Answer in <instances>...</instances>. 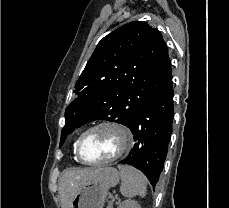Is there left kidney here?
<instances>
[{
  "mask_svg": "<svg viewBox=\"0 0 229 208\" xmlns=\"http://www.w3.org/2000/svg\"><path fill=\"white\" fill-rule=\"evenodd\" d=\"M119 208H140V206L137 202H133V200H125V202L120 204Z\"/></svg>",
  "mask_w": 229,
  "mask_h": 208,
  "instance_id": "left-kidney-1",
  "label": "left kidney"
}]
</instances>
